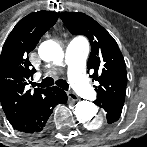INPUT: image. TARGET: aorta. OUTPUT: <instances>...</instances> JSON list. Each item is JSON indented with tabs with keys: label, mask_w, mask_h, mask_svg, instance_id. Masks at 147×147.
Wrapping results in <instances>:
<instances>
[{
	"label": "aorta",
	"mask_w": 147,
	"mask_h": 147,
	"mask_svg": "<svg viewBox=\"0 0 147 147\" xmlns=\"http://www.w3.org/2000/svg\"><path fill=\"white\" fill-rule=\"evenodd\" d=\"M40 58L46 62L61 63L63 51L58 43L47 40L41 43L38 49ZM77 120L89 129L100 128L106 121L103 113H99L98 107L89 101H81L75 105L74 109Z\"/></svg>",
	"instance_id": "1"
}]
</instances>
